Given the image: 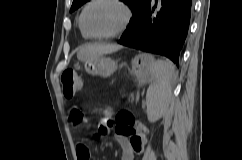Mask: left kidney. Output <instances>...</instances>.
Listing matches in <instances>:
<instances>
[{
    "label": "left kidney",
    "instance_id": "1",
    "mask_svg": "<svg viewBox=\"0 0 242 160\" xmlns=\"http://www.w3.org/2000/svg\"><path fill=\"white\" fill-rule=\"evenodd\" d=\"M165 107H161L159 109H156L152 104L147 103V116L148 120L151 123H155L158 121L166 112Z\"/></svg>",
    "mask_w": 242,
    "mask_h": 160
}]
</instances>
